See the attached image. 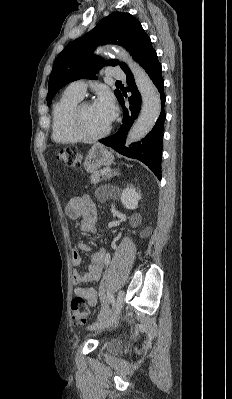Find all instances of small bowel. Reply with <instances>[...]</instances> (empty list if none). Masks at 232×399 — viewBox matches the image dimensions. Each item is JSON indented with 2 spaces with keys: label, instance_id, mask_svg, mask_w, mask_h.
Returning <instances> with one entry per match:
<instances>
[{
  "label": "small bowel",
  "instance_id": "small-bowel-1",
  "mask_svg": "<svg viewBox=\"0 0 232 399\" xmlns=\"http://www.w3.org/2000/svg\"><path fill=\"white\" fill-rule=\"evenodd\" d=\"M66 211L70 215L80 216L79 229L90 234L94 242H103L102 237L93 235L97 206L88 196L73 198L68 203ZM77 246L79 250H86L88 248V244L85 241H79ZM69 260L72 264L78 265L80 263L79 253L75 250L71 251L69 253ZM104 261L105 255L102 252L94 253L88 265V271L86 273H75L73 275V282L79 284L99 279L102 274V264ZM73 295L77 298L86 299L91 308H95L98 305L96 289L93 287L86 289L81 286H75L73 288Z\"/></svg>",
  "mask_w": 232,
  "mask_h": 399
}]
</instances>
